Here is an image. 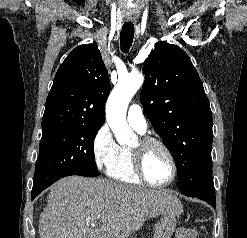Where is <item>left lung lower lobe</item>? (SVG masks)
Returning a JSON list of instances; mask_svg holds the SVG:
<instances>
[{
    "label": "left lung lower lobe",
    "instance_id": "obj_1",
    "mask_svg": "<svg viewBox=\"0 0 247 238\" xmlns=\"http://www.w3.org/2000/svg\"><path fill=\"white\" fill-rule=\"evenodd\" d=\"M187 196L200 198L208 202L213 207H215L216 205L215 189H214L213 184L205 185L202 191H196Z\"/></svg>",
    "mask_w": 247,
    "mask_h": 238
}]
</instances>
